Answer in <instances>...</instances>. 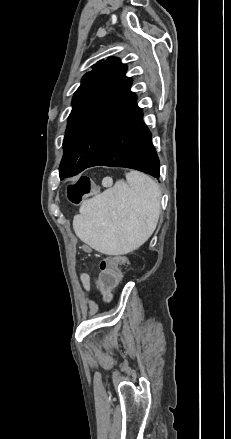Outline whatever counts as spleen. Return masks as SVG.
<instances>
[{
	"instance_id": "3e777b00",
	"label": "spleen",
	"mask_w": 231,
	"mask_h": 439,
	"mask_svg": "<svg viewBox=\"0 0 231 439\" xmlns=\"http://www.w3.org/2000/svg\"><path fill=\"white\" fill-rule=\"evenodd\" d=\"M158 184L138 171L126 173L112 188L82 202L74 217L76 235L108 255L132 252L153 234L161 211Z\"/></svg>"
}]
</instances>
